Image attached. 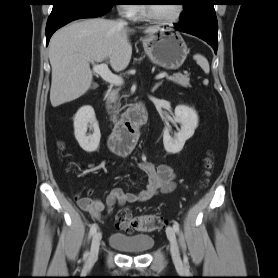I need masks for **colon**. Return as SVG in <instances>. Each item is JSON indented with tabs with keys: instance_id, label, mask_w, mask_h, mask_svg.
I'll return each mask as SVG.
<instances>
[{
	"instance_id": "5ec220e1",
	"label": "colon",
	"mask_w": 278,
	"mask_h": 278,
	"mask_svg": "<svg viewBox=\"0 0 278 278\" xmlns=\"http://www.w3.org/2000/svg\"><path fill=\"white\" fill-rule=\"evenodd\" d=\"M205 167H210V159L207 158ZM163 219L156 214L133 215L129 211L123 212L117 219V227L127 231L150 232L160 228Z\"/></svg>"
}]
</instances>
